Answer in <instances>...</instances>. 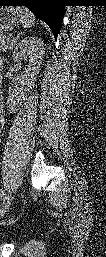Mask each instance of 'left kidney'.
<instances>
[{
    "label": "left kidney",
    "mask_w": 106,
    "mask_h": 257,
    "mask_svg": "<svg viewBox=\"0 0 106 257\" xmlns=\"http://www.w3.org/2000/svg\"><path fill=\"white\" fill-rule=\"evenodd\" d=\"M44 54V43L37 37H26L18 43L13 51V61L20 65L24 60L26 65L22 78L25 80L24 91L33 86L42 64ZM9 108H14L16 103L13 97L8 98Z\"/></svg>",
    "instance_id": "1"
}]
</instances>
